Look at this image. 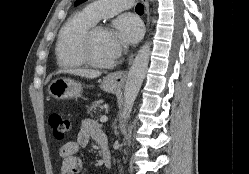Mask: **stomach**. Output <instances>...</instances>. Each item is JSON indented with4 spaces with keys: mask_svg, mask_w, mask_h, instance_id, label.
Listing matches in <instances>:
<instances>
[{
    "mask_svg": "<svg viewBox=\"0 0 249 174\" xmlns=\"http://www.w3.org/2000/svg\"><path fill=\"white\" fill-rule=\"evenodd\" d=\"M100 87L109 93H115L120 89L111 76H107L101 81ZM81 83L68 78H58L53 80L49 87V94L56 99H69L79 97L82 93Z\"/></svg>",
    "mask_w": 249,
    "mask_h": 174,
    "instance_id": "obj_1",
    "label": "stomach"
}]
</instances>
